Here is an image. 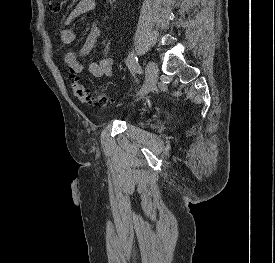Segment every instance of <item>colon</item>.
<instances>
[{
    "label": "colon",
    "mask_w": 275,
    "mask_h": 263,
    "mask_svg": "<svg viewBox=\"0 0 275 263\" xmlns=\"http://www.w3.org/2000/svg\"><path fill=\"white\" fill-rule=\"evenodd\" d=\"M66 0H46L47 6L50 11L60 12ZM70 88L74 96L84 104L106 106L109 104V99L105 95H96L89 91L79 77L70 74Z\"/></svg>",
    "instance_id": "1"
}]
</instances>
